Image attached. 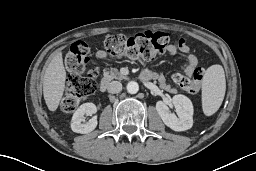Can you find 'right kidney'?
Returning <instances> with one entry per match:
<instances>
[{"instance_id":"obj_1","label":"right kidney","mask_w":256,"mask_h":171,"mask_svg":"<svg viewBox=\"0 0 256 171\" xmlns=\"http://www.w3.org/2000/svg\"><path fill=\"white\" fill-rule=\"evenodd\" d=\"M97 112V108L93 103H84L78 107V109L74 112L71 120V129L73 132L87 134L93 131L98 122L97 117L94 116L87 123H83L85 121L84 115H93Z\"/></svg>"}]
</instances>
